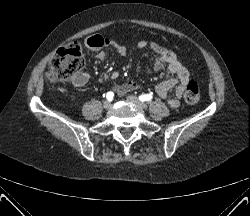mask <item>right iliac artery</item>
<instances>
[{
  "instance_id": "82829eb1",
  "label": "right iliac artery",
  "mask_w": 250,
  "mask_h": 216,
  "mask_svg": "<svg viewBox=\"0 0 250 216\" xmlns=\"http://www.w3.org/2000/svg\"><path fill=\"white\" fill-rule=\"evenodd\" d=\"M113 97H114V93L113 92H108L107 94H106V98L108 99V100H112L113 99Z\"/></svg>"
}]
</instances>
